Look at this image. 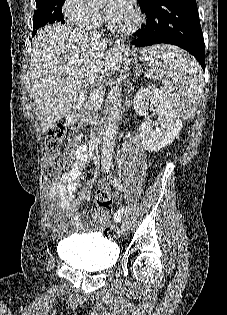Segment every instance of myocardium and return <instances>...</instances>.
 <instances>
[{"label": "myocardium", "mask_w": 227, "mask_h": 315, "mask_svg": "<svg viewBox=\"0 0 227 315\" xmlns=\"http://www.w3.org/2000/svg\"><path fill=\"white\" fill-rule=\"evenodd\" d=\"M132 16H133V22L130 24V26L126 28H120V27L115 26L108 18H106V24L111 31L119 33V34H123V35H128L135 32L141 25V21H142L139 12L135 8H133L132 10Z\"/></svg>", "instance_id": "myocardium-1"}]
</instances>
